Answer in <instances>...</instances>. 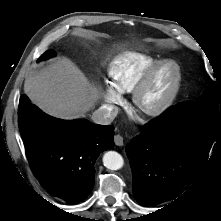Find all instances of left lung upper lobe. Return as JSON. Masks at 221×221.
Here are the masks:
<instances>
[{
    "label": "left lung upper lobe",
    "instance_id": "5c2ea615",
    "mask_svg": "<svg viewBox=\"0 0 221 221\" xmlns=\"http://www.w3.org/2000/svg\"><path fill=\"white\" fill-rule=\"evenodd\" d=\"M219 101L214 83L195 102L177 104L173 110L174 120L186 124H207L221 126Z\"/></svg>",
    "mask_w": 221,
    "mask_h": 221
}]
</instances>
